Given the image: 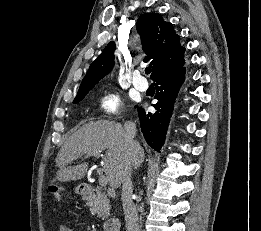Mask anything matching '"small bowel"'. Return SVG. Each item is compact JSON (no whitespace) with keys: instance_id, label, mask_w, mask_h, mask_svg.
<instances>
[{"instance_id":"obj_1","label":"small bowel","mask_w":261,"mask_h":231,"mask_svg":"<svg viewBox=\"0 0 261 231\" xmlns=\"http://www.w3.org/2000/svg\"><path fill=\"white\" fill-rule=\"evenodd\" d=\"M59 231H73V229L67 225H60Z\"/></svg>"}]
</instances>
